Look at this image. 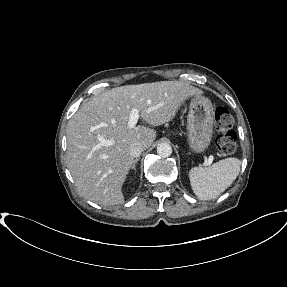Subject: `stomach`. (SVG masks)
I'll list each match as a JSON object with an SVG mask.
<instances>
[{
  "instance_id": "1",
  "label": "stomach",
  "mask_w": 287,
  "mask_h": 287,
  "mask_svg": "<svg viewBox=\"0 0 287 287\" xmlns=\"http://www.w3.org/2000/svg\"><path fill=\"white\" fill-rule=\"evenodd\" d=\"M214 107L211 101L203 96L191 99L188 118V145L196 153H203L209 147L213 135Z\"/></svg>"
}]
</instances>
